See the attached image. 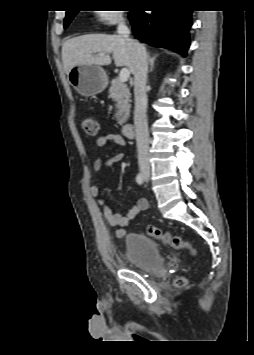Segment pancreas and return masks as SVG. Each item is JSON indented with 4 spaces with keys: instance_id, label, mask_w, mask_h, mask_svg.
I'll use <instances>...</instances> for the list:
<instances>
[{
    "instance_id": "1",
    "label": "pancreas",
    "mask_w": 254,
    "mask_h": 355,
    "mask_svg": "<svg viewBox=\"0 0 254 355\" xmlns=\"http://www.w3.org/2000/svg\"><path fill=\"white\" fill-rule=\"evenodd\" d=\"M130 91L125 83L120 82L118 78L111 81L109 88V98H112L118 109L115 117L119 125L126 123L130 112Z\"/></svg>"
}]
</instances>
